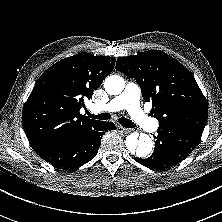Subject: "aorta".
Wrapping results in <instances>:
<instances>
[{
  "label": "aorta",
  "instance_id": "obj_1",
  "mask_svg": "<svg viewBox=\"0 0 222 222\" xmlns=\"http://www.w3.org/2000/svg\"><path fill=\"white\" fill-rule=\"evenodd\" d=\"M125 87V81L118 75H111L105 79L104 88L110 95L120 94ZM128 151L139 158H146L152 151L153 143L151 138L144 133H132L125 141Z\"/></svg>",
  "mask_w": 222,
  "mask_h": 222
}]
</instances>
